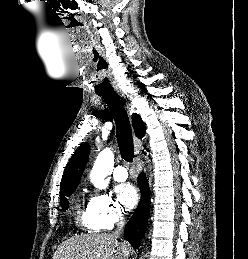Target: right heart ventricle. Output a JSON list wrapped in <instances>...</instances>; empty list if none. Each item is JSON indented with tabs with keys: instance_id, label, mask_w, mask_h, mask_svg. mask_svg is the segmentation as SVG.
Masks as SVG:
<instances>
[{
	"instance_id": "1",
	"label": "right heart ventricle",
	"mask_w": 248,
	"mask_h": 259,
	"mask_svg": "<svg viewBox=\"0 0 248 259\" xmlns=\"http://www.w3.org/2000/svg\"><path fill=\"white\" fill-rule=\"evenodd\" d=\"M75 214H76L75 220L79 226L89 230H97V228L94 225L93 218L88 205L84 207L81 204H78L76 206Z\"/></svg>"
}]
</instances>
